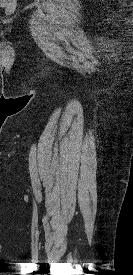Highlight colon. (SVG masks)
Masks as SVG:
<instances>
[{
    "label": "colon",
    "mask_w": 133,
    "mask_h": 275,
    "mask_svg": "<svg viewBox=\"0 0 133 275\" xmlns=\"http://www.w3.org/2000/svg\"><path fill=\"white\" fill-rule=\"evenodd\" d=\"M6 12L12 13L16 8V1L15 0H4L1 5Z\"/></svg>",
    "instance_id": "5ec220e1"
}]
</instances>
